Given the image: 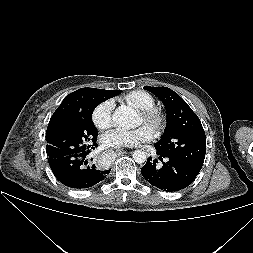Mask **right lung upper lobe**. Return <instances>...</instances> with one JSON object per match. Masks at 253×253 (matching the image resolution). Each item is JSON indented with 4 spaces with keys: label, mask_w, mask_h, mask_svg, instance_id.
I'll return each mask as SVG.
<instances>
[{
    "label": "right lung upper lobe",
    "mask_w": 253,
    "mask_h": 253,
    "mask_svg": "<svg viewBox=\"0 0 253 253\" xmlns=\"http://www.w3.org/2000/svg\"><path fill=\"white\" fill-rule=\"evenodd\" d=\"M89 88H81L77 91L72 92L71 94L67 95L64 100L62 101L61 105L57 108V110L54 112L51 119H54L55 117H58L60 115L66 114L68 111H70L71 107L77 102V100L80 98V96ZM107 99L112 98L118 94H120L119 90H104L99 89Z\"/></svg>",
    "instance_id": "1"
}]
</instances>
